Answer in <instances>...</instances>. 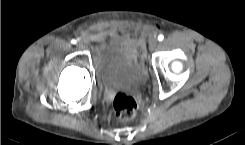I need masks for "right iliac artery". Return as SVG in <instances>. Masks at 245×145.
Segmentation results:
<instances>
[{
    "label": "right iliac artery",
    "instance_id": "82829eb1",
    "mask_svg": "<svg viewBox=\"0 0 245 145\" xmlns=\"http://www.w3.org/2000/svg\"><path fill=\"white\" fill-rule=\"evenodd\" d=\"M71 43H72V44H76V40H75V39H72V40H71Z\"/></svg>",
    "mask_w": 245,
    "mask_h": 145
}]
</instances>
